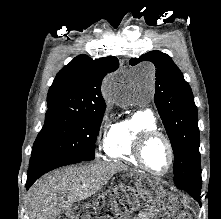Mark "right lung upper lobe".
Masks as SVG:
<instances>
[{"instance_id":"right-lung-upper-lobe-1","label":"right lung upper lobe","mask_w":221,"mask_h":219,"mask_svg":"<svg viewBox=\"0 0 221 219\" xmlns=\"http://www.w3.org/2000/svg\"><path fill=\"white\" fill-rule=\"evenodd\" d=\"M118 66V59L112 56L95 60L87 55L77 56L54 79L47 95L48 107L82 111L105 109L101 82Z\"/></svg>"}]
</instances>
